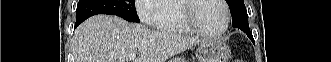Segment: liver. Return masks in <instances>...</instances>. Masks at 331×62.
<instances>
[{"label": "liver", "mask_w": 331, "mask_h": 62, "mask_svg": "<svg viewBox=\"0 0 331 62\" xmlns=\"http://www.w3.org/2000/svg\"><path fill=\"white\" fill-rule=\"evenodd\" d=\"M201 39L171 31H155L108 15H96L83 22L73 37L75 62H166L198 44Z\"/></svg>", "instance_id": "liver-1"}]
</instances>
